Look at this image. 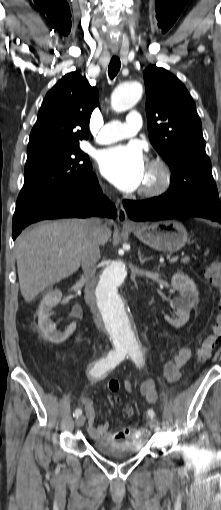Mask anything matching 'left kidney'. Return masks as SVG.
<instances>
[{"label": "left kidney", "mask_w": 221, "mask_h": 510, "mask_svg": "<svg viewBox=\"0 0 221 510\" xmlns=\"http://www.w3.org/2000/svg\"><path fill=\"white\" fill-rule=\"evenodd\" d=\"M171 285L179 292V297L172 300L178 319L165 315V320L175 328H180L187 323L191 309L198 302V291L194 281L181 272L173 275Z\"/></svg>", "instance_id": "1"}]
</instances>
